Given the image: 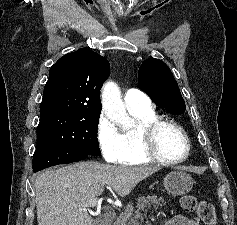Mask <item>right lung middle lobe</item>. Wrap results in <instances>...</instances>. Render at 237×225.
<instances>
[{"label":"right lung middle lobe","mask_w":237,"mask_h":225,"mask_svg":"<svg viewBox=\"0 0 237 225\" xmlns=\"http://www.w3.org/2000/svg\"><path fill=\"white\" fill-rule=\"evenodd\" d=\"M100 114L60 115L40 120L37 146H57L88 155L101 154L97 128Z\"/></svg>","instance_id":"dd1d6c3e"}]
</instances>
